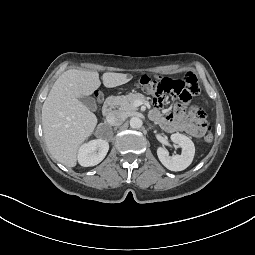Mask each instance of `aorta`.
I'll use <instances>...</instances> for the list:
<instances>
[{"mask_svg":"<svg viewBox=\"0 0 255 255\" xmlns=\"http://www.w3.org/2000/svg\"><path fill=\"white\" fill-rule=\"evenodd\" d=\"M130 126L133 129H138L142 126V120L138 117H132L130 119Z\"/></svg>","mask_w":255,"mask_h":255,"instance_id":"aorta-1","label":"aorta"}]
</instances>
